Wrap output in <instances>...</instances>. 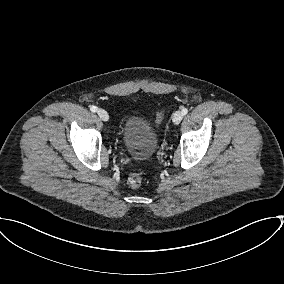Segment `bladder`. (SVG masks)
I'll return each instance as SVG.
<instances>
[{
  "mask_svg": "<svg viewBox=\"0 0 284 284\" xmlns=\"http://www.w3.org/2000/svg\"><path fill=\"white\" fill-rule=\"evenodd\" d=\"M121 141L132 157L147 160L156 152L158 134L146 118L133 114L124 120Z\"/></svg>",
  "mask_w": 284,
  "mask_h": 284,
  "instance_id": "31cf9c89",
  "label": "bladder"
}]
</instances>
